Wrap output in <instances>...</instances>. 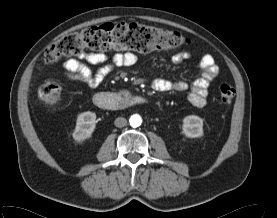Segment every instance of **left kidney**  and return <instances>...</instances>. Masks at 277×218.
Segmentation results:
<instances>
[{
  "mask_svg": "<svg viewBox=\"0 0 277 218\" xmlns=\"http://www.w3.org/2000/svg\"><path fill=\"white\" fill-rule=\"evenodd\" d=\"M183 134L188 138H198L203 135V120L199 116L189 115L183 119Z\"/></svg>",
  "mask_w": 277,
  "mask_h": 218,
  "instance_id": "1",
  "label": "left kidney"
}]
</instances>
